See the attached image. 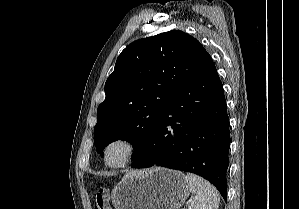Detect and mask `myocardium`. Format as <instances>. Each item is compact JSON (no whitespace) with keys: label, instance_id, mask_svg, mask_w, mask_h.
<instances>
[{"label":"myocardium","instance_id":"obj_1","mask_svg":"<svg viewBox=\"0 0 299 209\" xmlns=\"http://www.w3.org/2000/svg\"><path fill=\"white\" fill-rule=\"evenodd\" d=\"M116 144H121L123 146H125L126 148V152L124 155V158L116 164H110L107 161V154L109 149ZM139 151V145L137 143V141L128 136V135H117L114 136L113 138H111L105 145L104 150H103V162L105 164V166H107L108 168L111 169H118V168H122L127 166L128 164H130L133 159L136 157L137 153Z\"/></svg>","mask_w":299,"mask_h":209}]
</instances>
